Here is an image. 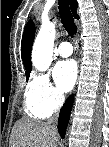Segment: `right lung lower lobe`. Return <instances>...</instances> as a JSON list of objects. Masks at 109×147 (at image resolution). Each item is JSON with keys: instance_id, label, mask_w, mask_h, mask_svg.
Masks as SVG:
<instances>
[{"instance_id": "right-lung-lower-lobe-1", "label": "right lung lower lobe", "mask_w": 109, "mask_h": 147, "mask_svg": "<svg viewBox=\"0 0 109 147\" xmlns=\"http://www.w3.org/2000/svg\"><path fill=\"white\" fill-rule=\"evenodd\" d=\"M73 95L69 96L63 107L61 108L59 120H58V131L62 138L65 136L66 128L69 122L70 113L73 106Z\"/></svg>"}]
</instances>
